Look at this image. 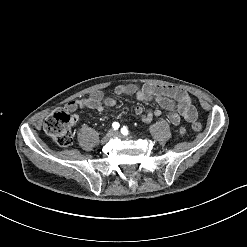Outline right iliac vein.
<instances>
[{
    "mask_svg": "<svg viewBox=\"0 0 247 247\" xmlns=\"http://www.w3.org/2000/svg\"><path fill=\"white\" fill-rule=\"evenodd\" d=\"M114 136H116L115 134V131L113 129H110L106 135L103 137L102 141L105 142V141H108L110 140L111 138H113Z\"/></svg>",
    "mask_w": 247,
    "mask_h": 247,
    "instance_id": "right-iliac-vein-1",
    "label": "right iliac vein"
}]
</instances>
